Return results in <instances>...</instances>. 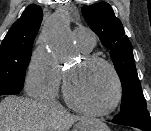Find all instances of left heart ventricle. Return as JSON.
Here are the masks:
<instances>
[{
    "label": "left heart ventricle",
    "mask_w": 151,
    "mask_h": 131,
    "mask_svg": "<svg viewBox=\"0 0 151 131\" xmlns=\"http://www.w3.org/2000/svg\"><path fill=\"white\" fill-rule=\"evenodd\" d=\"M68 84L72 96L93 109L108 106L115 93L111 73L101 64L85 65L80 61L69 70Z\"/></svg>",
    "instance_id": "b2bd125f"
}]
</instances>
